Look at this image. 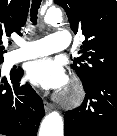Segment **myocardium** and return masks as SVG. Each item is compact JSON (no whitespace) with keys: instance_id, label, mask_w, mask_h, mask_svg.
Here are the masks:
<instances>
[{"instance_id":"myocardium-1","label":"myocardium","mask_w":117,"mask_h":136,"mask_svg":"<svg viewBox=\"0 0 117 136\" xmlns=\"http://www.w3.org/2000/svg\"><path fill=\"white\" fill-rule=\"evenodd\" d=\"M84 97V89L79 80L75 79L72 85L61 95L60 102L64 106H76Z\"/></svg>"}]
</instances>
